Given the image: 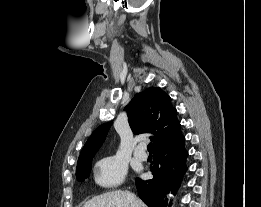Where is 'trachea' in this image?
Instances as JSON below:
<instances>
[{
	"label": "trachea",
	"mask_w": 261,
	"mask_h": 207,
	"mask_svg": "<svg viewBox=\"0 0 261 207\" xmlns=\"http://www.w3.org/2000/svg\"><path fill=\"white\" fill-rule=\"evenodd\" d=\"M147 148H148V151H149V152H152V150H153V144H152V143H149L148 146H147Z\"/></svg>",
	"instance_id": "1"
}]
</instances>
